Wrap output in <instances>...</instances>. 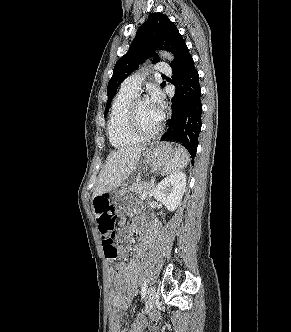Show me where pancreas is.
<instances>
[{
	"label": "pancreas",
	"instance_id": "cf45deb5",
	"mask_svg": "<svg viewBox=\"0 0 291 332\" xmlns=\"http://www.w3.org/2000/svg\"><path fill=\"white\" fill-rule=\"evenodd\" d=\"M129 190L141 197L150 193L151 184L150 182H135L129 187Z\"/></svg>",
	"mask_w": 291,
	"mask_h": 332
}]
</instances>
